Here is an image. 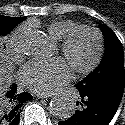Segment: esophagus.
Instances as JSON below:
<instances>
[{
    "mask_svg": "<svg viewBox=\"0 0 125 125\" xmlns=\"http://www.w3.org/2000/svg\"><path fill=\"white\" fill-rule=\"evenodd\" d=\"M36 96L38 98H42V99H47V98L51 97V95H46V94H36Z\"/></svg>",
    "mask_w": 125,
    "mask_h": 125,
    "instance_id": "obj_1",
    "label": "esophagus"
}]
</instances>
